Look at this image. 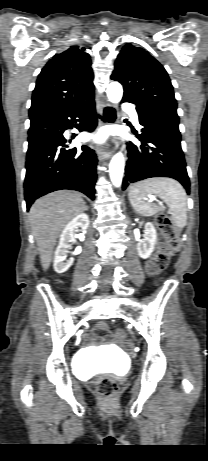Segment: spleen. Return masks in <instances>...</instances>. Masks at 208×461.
I'll return each instance as SVG.
<instances>
[{
	"label": "spleen",
	"instance_id": "spleen-1",
	"mask_svg": "<svg viewBox=\"0 0 208 461\" xmlns=\"http://www.w3.org/2000/svg\"><path fill=\"white\" fill-rule=\"evenodd\" d=\"M147 194H155L169 207L174 224L183 228L187 223V195L183 186L172 178H150L133 184L129 190V201L134 210L143 216H152L164 208L151 204Z\"/></svg>",
	"mask_w": 208,
	"mask_h": 461
}]
</instances>
